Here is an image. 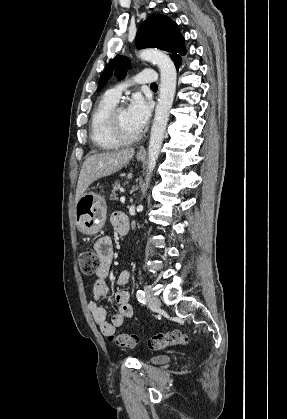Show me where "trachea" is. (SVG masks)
<instances>
[{"mask_svg":"<svg viewBox=\"0 0 287 419\" xmlns=\"http://www.w3.org/2000/svg\"><path fill=\"white\" fill-rule=\"evenodd\" d=\"M151 87H157V84L156 83H152L151 84Z\"/></svg>","mask_w":287,"mask_h":419,"instance_id":"1","label":"trachea"}]
</instances>
